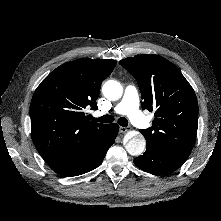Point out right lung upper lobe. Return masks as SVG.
I'll return each mask as SVG.
<instances>
[{"label":"right lung upper lobe","mask_w":221,"mask_h":221,"mask_svg":"<svg viewBox=\"0 0 221 221\" xmlns=\"http://www.w3.org/2000/svg\"><path fill=\"white\" fill-rule=\"evenodd\" d=\"M116 66L111 59L82 58L53 70L36 89L31 105V136L49 166L90 150L107 125L90 121L102 81Z\"/></svg>","instance_id":"obj_1"}]
</instances>
